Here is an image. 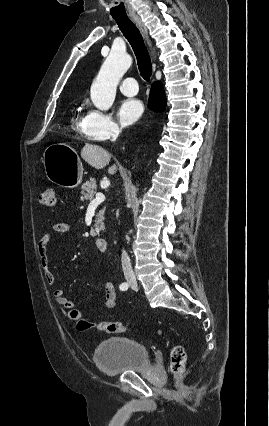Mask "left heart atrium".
I'll return each instance as SVG.
<instances>
[{
    "mask_svg": "<svg viewBox=\"0 0 269 426\" xmlns=\"http://www.w3.org/2000/svg\"><path fill=\"white\" fill-rule=\"evenodd\" d=\"M143 113V105L138 99L124 100L117 112L118 119L123 126L135 123Z\"/></svg>",
    "mask_w": 269,
    "mask_h": 426,
    "instance_id": "obj_1",
    "label": "left heart atrium"
}]
</instances>
